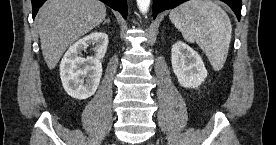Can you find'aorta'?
Instances as JSON below:
<instances>
[{
  "label": "aorta",
  "instance_id": "1",
  "mask_svg": "<svg viewBox=\"0 0 276 145\" xmlns=\"http://www.w3.org/2000/svg\"><path fill=\"white\" fill-rule=\"evenodd\" d=\"M137 6L142 14H146L149 10L150 0H136Z\"/></svg>",
  "mask_w": 276,
  "mask_h": 145
}]
</instances>
